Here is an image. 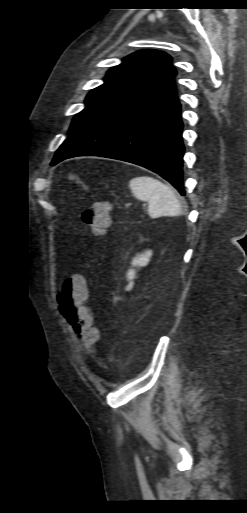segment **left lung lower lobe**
<instances>
[{"mask_svg": "<svg viewBox=\"0 0 247 513\" xmlns=\"http://www.w3.org/2000/svg\"><path fill=\"white\" fill-rule=\"evenodd\" d=\"M180 109L172 78L70 135L51 165L76 156L123 160L158 173L185 195Z\"/></svg>", "mask_w": 247, "mask_h": 513, "instance_id": "obj_1", "label": "left lung lower lobe"}]
</instances>
